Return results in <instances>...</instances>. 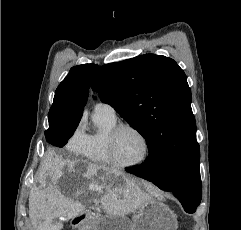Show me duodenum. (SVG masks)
<instances>
[{
    "mask_svg": "<svg viewBox=\"0 0 241 230\" xmlns=\"http://www.w3.org/2000/svg\"><path fill=\"white\" fill-rule=\"evenodd\" d=\"M89 218V216L87 214H79L73 217L72 219V226L74 228H78L80 227L87 219Z\"/></svg>",
    "mask_w": 241,
    "mask_h": 230,
    "instance_id": "1",
    "label": "duodenum"
}]
</instances>
